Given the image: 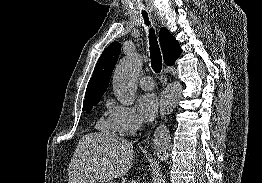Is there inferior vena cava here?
<instances>
[{
    "mask_svg": "<svg viewBox=\"0 0 262 183\" xmlns=\"http://www.w3.org/2000/svg\"><path fill=\"white\" fill-rule=\"evenodd\" d=\"M141 125H142V122H139V126L138 127L140 128Z\"/></svg>",
    "mask_w": 262,
    "mask_h": 183,
    "instance_id": "inferior-vena-cava-1",
    "label": "inferior vena cava"
}]
</instances>
